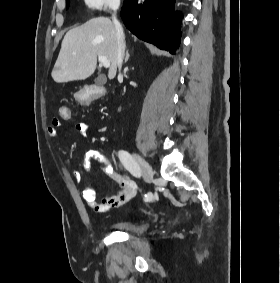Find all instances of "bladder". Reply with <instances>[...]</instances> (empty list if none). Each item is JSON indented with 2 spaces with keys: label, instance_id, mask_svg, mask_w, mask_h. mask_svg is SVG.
Instances as JSON below:
<instances>
[{
  "label": "bladder",
  "instance_id": "obj_1",
  "mask_svg": "<svg viewBox=\"0 0 280 283\" xmlns=\"http://www.w3.org/2000/svg\"><path fill=\"white\" fill-rule=\"evenodd\" d=\"M150 224L148 222H126L119 221L113 224V228L125 232L128 234H141L149 229Z\"/></svg>",
  "mask_w": 280,
  "mask_h": 283
}]
</instances>
